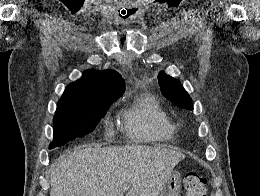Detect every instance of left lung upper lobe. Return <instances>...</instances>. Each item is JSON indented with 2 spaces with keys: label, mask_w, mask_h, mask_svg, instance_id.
<instances>
[{
  "label": "left lung upper lobe",
  "mask_w": 260,
  "mask_h": 196,
  "mask_svg": "<svg viewBox=\"0 0 260 196\" xmlns=\"http://www.w3.org/2000/svg\"><path fill=\"white\" fill-rule=\"evenodd\" d=\"M158 82L164 97L183 109H193L190 96L178 80L160 72Z\"/></svg>",
  "instance_id": "1"
}]
</instances>
